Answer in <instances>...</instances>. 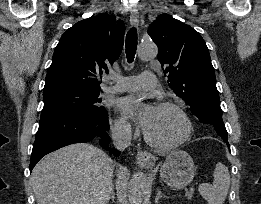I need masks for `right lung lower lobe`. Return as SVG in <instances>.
Masks as SVG:
<instances>
[{
    "instance_id": "1",
    "label": "right lung lower lobe",
    "mask_w": 261,
    "mask_h": 204,
    "mask_svg": "<svg viewBox=\"0 0 261 204\" xmlns=\"http://www.w3.org/2000/svg\"><path fill=\"white\" fill-rule=\"evenodd\" d=\"M108 112L99 109H60L41 113L29 169L46 154L72 143H86L100 137L108 150ZM117 156L119 152L113 151Z\"/></svg>"
}]
</instances>
